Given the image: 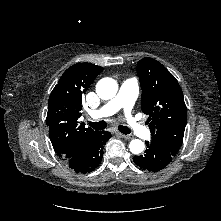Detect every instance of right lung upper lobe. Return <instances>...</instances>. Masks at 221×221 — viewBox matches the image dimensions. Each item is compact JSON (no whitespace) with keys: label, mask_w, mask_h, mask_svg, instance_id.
Returning a JSON list of instances; mask_svg holds the SVG:
<instances>
[{"label":"right lung upper lobe","mask_w":221,"mask_h":221,"mask_svg":"<svg viewBox=\"0 0 221 221\" xmlns=\"http://www.w3.org/2000/svg\"><path fill=\"white\" fill-rule=\"evenodd\" d=\"M103 68L90 63L70 66L48 100L46 124L56 154L65 161L82 157L97 131L78 121L82 96Z\"/></svg>","instance_id":"cb5924a9"}]
</instances>
